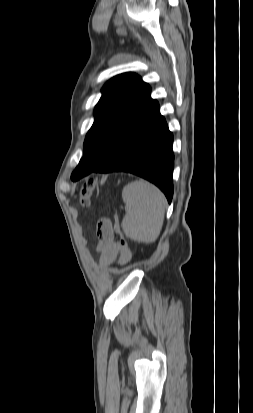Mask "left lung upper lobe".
<instances>
[{
  "label": "left lung upper lobe",
  "mask_w": 253,
  "mask_h": 413,
  "mask_svg": "<svg viewBox=\"0 0 253 413\" xmlns=\"http://www.w3.org/2000/svg\"><path fill=\"white\" fill-rule=\"evenodd\" d=\"M150 92L149 85L135 73L117 75L103 86L95 121L85 138L84 156L71 175L73 181L96 171L112 157L121 137V123L151 104Z\"/></svg>",
  "instance_id": "obj_1"
}]
</instances>
